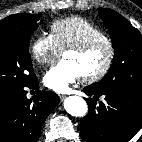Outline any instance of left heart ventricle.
<instances>
[{
	"instance_id": "left-heart-ventricle-1",
	"label": "left heart ventricle",
	"mask_w": 142,
	"mask_h": 142,
	"mask_svg": "<svg viewBox=\"0 0 142 142\" xmlns=\"http://www.w3.org/2000/svg\"><path fill=\"white\" fill-rule=\"evenodd\" d=\"M107 53L106 46L100 44L85 53L66 52L63 57L72 61L78 68L81 76H85L97 72L104 65Z\"/></svg>"
}]
</instances>
